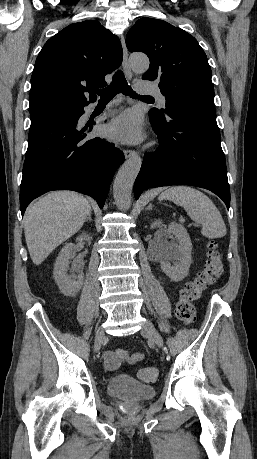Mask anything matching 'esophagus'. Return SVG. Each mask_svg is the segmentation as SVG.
<instances>
[{"mask_svg":"<svg viewBox=\"0 0 257 459\" xmlns=\"http://www.w3.org/2000/svg\"><path fill=\"white\" fill-rule=\"evenodd\" d=\"M121 44H122V48H123V61H122L123 70H124L125 75L127 76V78L131 79L132 78V72H131V69H130L129 64H128V51H127V48H126L125 38H124L123 35H121ZM136 154L137 153L134 150H130V149H125L124 150L125 158L135 157Z\"/></svg>","mask_w":257,"mask_h":459,"instance_id":"esophagus-1","label":"esophagus"}]
</instances>
